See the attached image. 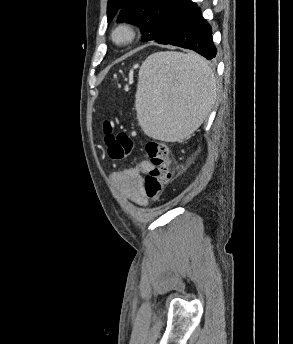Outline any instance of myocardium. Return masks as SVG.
<instances>
[{
	"label": "myocardium",
	"instance_id": "f54148a6",
	"mask_svg": "<svg viewBox=\"0 0 293 344\" xmlns=\"http://www.w3.org/2000/svg\"><path fill=\"white\" fill-rule=\"evenodd\" d=\"M136 37L134 27L128 22L119 23L111 33L113 42L117 45L123 46L130 44Z\"/></svg>",
	"mask_w": 293,
	"mask_h": 344
}]
</instances>
